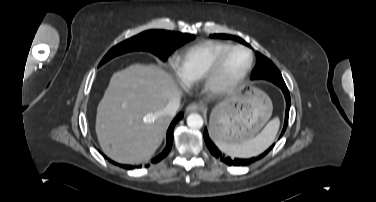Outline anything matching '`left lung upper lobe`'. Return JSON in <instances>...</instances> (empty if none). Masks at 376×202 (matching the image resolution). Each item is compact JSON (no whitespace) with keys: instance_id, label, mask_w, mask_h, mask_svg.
Listing matches in <instances>:
<instances>
[{"instance_id":"5c2ea615","label":"left lung upper lobe","mask_w":376,"mask_h":202,"mask_svg":"<svg viewBox=\"0 0 376 202\" xmlns=\"http://www.w3.org/2000/svg\"><path fill=\"white\" fill-rule=\"evenodd\" d=\"M212 38L233 39L245 45H248L244 40L239 37L226 35V34H213ZM257 63L252 71V79H266L273 82L276 85L285 84L278 68L265 56L256 52Z\"/></svg>"}]
</instances>
